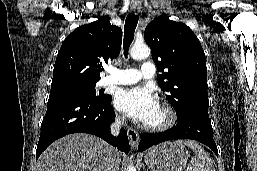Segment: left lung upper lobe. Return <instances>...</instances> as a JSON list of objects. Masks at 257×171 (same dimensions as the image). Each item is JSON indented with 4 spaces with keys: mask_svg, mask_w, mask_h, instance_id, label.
<instances>
[{
    "mask_svg": "<svg viewBox=\"0 0 257 171\" xmlns=\"http://www.w3.org/2000/svg\"><path fill=\"white\" fill-rule=\"evenodd\" d=\"M144 37L162 72L159 86L178 117L189 112L208 114L206 58L193 31L183 23L159 16L147 25Z\"/></svg>",
    "mask_w": 257,
    "mask_h": 171,
    "instance_id": "5c2ea615",
    "label": "left lung upper lobe"
}]
</instances>
